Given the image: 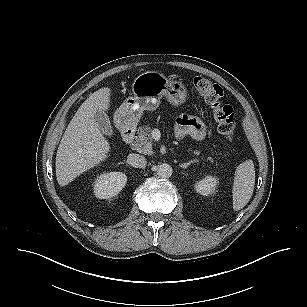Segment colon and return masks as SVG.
<instances>
[{"instance_id":"1","label":"colon","mask_w":307,"mask_h":307,"mask_svg":"<svg viewBox=\"0 0 307 307\" xmlns=\"http://www.w3.org/2000/svg\"><path fill=\"white\" fill-rule=\"evenodd\" d=\"M193 84L198 95L211 106L217 122L218 131L229 142H234L235 115L232 107L223 98L222 88L218 84L203 77H196Z\"/></svg>"}]
</instances>
